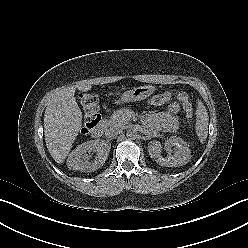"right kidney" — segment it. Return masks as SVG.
Masks as SVG:
<instances>
[{"instance_id":"ca27d5eb","label":"right kidney","mask_w":248,"mask_h":248,"mask_svg":"<svg viewBox=\"0 0 248 248\" xmlns=\"http://www.w3.org/2000/svg\"><path fill=\"white\" fill-rule=\"evenodd\" d=\"M110 149L111 144L105 140L97 139L84 142L69 154L67 166L72 170L94 172L103 166ZM91 152L95 153L94 160H92Z\"/></svg>"}]
</instances>
